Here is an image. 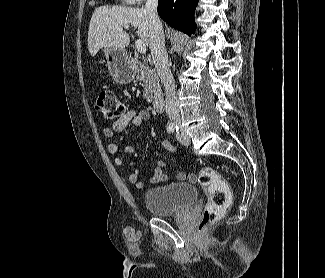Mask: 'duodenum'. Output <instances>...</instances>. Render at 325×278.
<instances>
[{"label": "duodenum", "instance_id": "obj_1", "mask_svg": "<svg viewBox=\"0 0 325 278\" xmlns=\"http://www.w3.org/2000/svg\"><path fill=\"white\" fill-rule=\"evenodd\" d=\"M134 67H139L140 63L137 60L133 61ZM165 100L163 97H155L152 101V107L157 112H162L164 110Z\"/></svg>", "mask_w": 325, "mask_h": 278}]
</instances>
